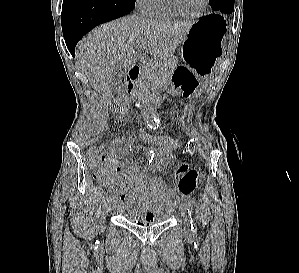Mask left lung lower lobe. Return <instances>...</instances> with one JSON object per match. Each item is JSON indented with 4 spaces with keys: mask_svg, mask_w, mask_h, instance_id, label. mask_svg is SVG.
<instances>
[{
    "mask_svg": "<svg viewBox=\"0 0 299 273\" xmlns=\"http://www.w3.org/2000/svg\"><path fill=\"white\" fill-rule=\"evenodd\" d=\"M234 10V4L224 3L221 5L218 11L222 13H232Z\"/></svg>",
    "mask_w": 299,
    "mask_h": 273,
    "instance_id": "left-lung-lower-lobe-1",
    "label": "left lung lower lobe"
}]
</instances>
